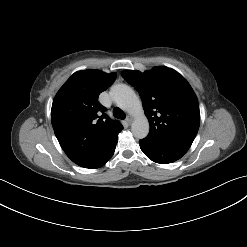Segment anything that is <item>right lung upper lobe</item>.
I'll list each match as a JSON object with an SVG mask.
<instances>
[{"label":"right lung upper lobe","instance_id":"1","mask_svg":"<svg viewBox=\"0 0 247 247\" xmlns=\"http://www.w3.org/2000/svg\"><path fill=\"white\" fill-rule=\"evenodd\" d=\"M116 73L83 70L74 73L56 94L51 110L55 135L77 165L89 161L99 146L123 127L104 114L99 94L110 87Z\"/></svg>","mask_w":247,"mask_h":247}]
</instances>
